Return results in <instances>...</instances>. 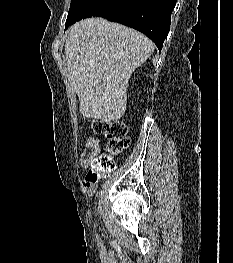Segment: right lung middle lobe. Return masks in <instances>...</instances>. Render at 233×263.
Returning a JSON list of instances; mask_svg holds the SVG:
<instances>
[{"label": "right lung middle lobe", "instance_id": "obj_1", "mask_svg": "<svg viewBox=\"0 0 233 263\" xmlns=\"http://www.w3.org/2000/svg\"><path fill=\"white\" fill-rule=\"evenodd\" d=\"M123 0H71L66 28L81 19L111 14Z\"/></svg>", "mask_w": 233, "mask_h": 263}]
</instances>
